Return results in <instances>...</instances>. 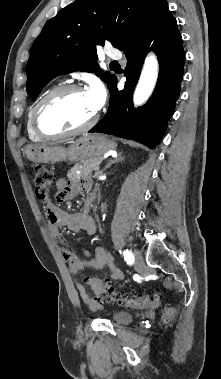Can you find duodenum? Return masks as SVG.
Listing matches in <instances>:
<instances>
[{
    "instance_id": "duodenum-1",
    "label": "duodenum",
    "mask_w": 221,
    "mask_h": 379,
    "mask_svg": "<svg viewBox=\"0 0 221 379\" xmlns=\"http://www.w3.org/2000/svg\"><path fill=\"white\" fill-rule=\"evenodd\" d=\"M93 204V197H90L86 203V209L89 210Z\"/></svg>"
}]
</instances>
